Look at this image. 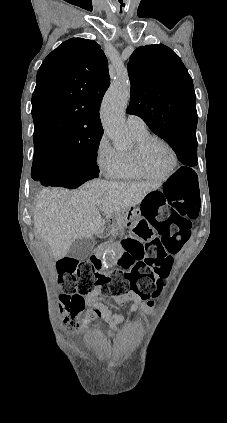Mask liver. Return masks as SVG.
Wrapping results in <instances>:
<instances>
[{"mask_svg":"<svg viewBox=\"0 0 227 423\" xmlns=\"http://www.w3.org/2000/svg\"><path fill=\"white\" fill-rule=\"evenodd\" d=\"M160 186L157 182L92 180L73 192L45 188L37 196L33 213L35 233L49 243L55 259H61L76 239L104 231L106 221L100 211L106 217L118 215L124 208L141 204L149 192Z\"/></svg>","mask_w":227,"mask_h":423,"instance_id":"liver-1","label":"liver"}]
</instances>
